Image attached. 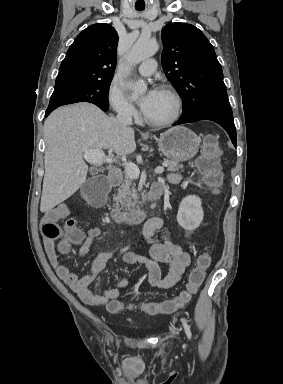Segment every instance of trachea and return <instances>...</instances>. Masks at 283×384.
I'll list each match as a JSON object with an SVG mask.
<instances>
[{"instance_id": "obj_1", "label": "trachea", "mask_w": 283, "mask_h": 384, "mask_svg": "<svg viewBox=\"0 0 283 384\" xmlns=\"http://www.w3.org/2000/svg\"><path fill=\"white\" fill-rule=\"evenodd\" d=\"M136 10H144V8H136Z\"/></svg>"}]
</instances>
